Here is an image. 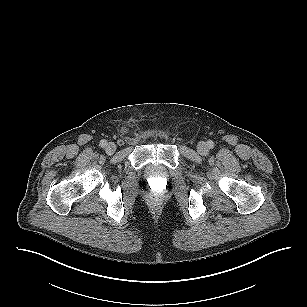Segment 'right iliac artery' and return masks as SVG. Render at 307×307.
I'll use <instances>...</instances> for the list:
<instances>
[{"mask_svg":"<svg viewBox=\"0 0 307 307\" xmlns=\"http://www.w3.org/2000/svg\"><path fill=\"white\" fill-rule=\"evenodd\" d=\"M106 144H107L106 140H101V141H100V146H101L102 148L105 147Z\"/></svg>","mask_w":307,"mask_h":307,"instance_id":"1","label":"right iliac artery"}]
</instances>
